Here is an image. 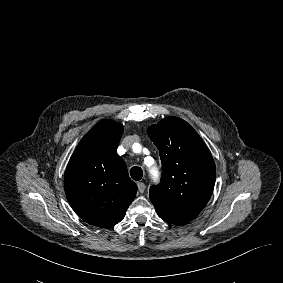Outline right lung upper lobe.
<instances>
[{"instance_id":"right-lung-upper-lobe-1","label":"right lung upper lobe","mask_w":283,"mask_h":283,"mask_svg":"<svg viewBox=\"0 0 283 283\" xmlns=\"http://www.w3.org/2000/svg\"><path fill=\"white\" fill-rule=\"evenodd\" d=\"M123 126L98 122L80 141L64 175L66 197L80 218L98 227L119 223L136 196L125 162L116 153Z\"/></svg>"}]
</instances>
